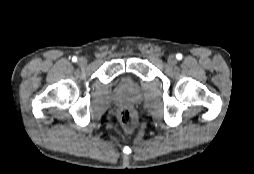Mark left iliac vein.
Segmentation results:
<instances>
[{"instance_id": "4c4485c4", "label": "left iliac vein", "mask_w": 254, "mask_h": 174, "mask_svg": "<svg viewBox=\"0 0 254 174\" xmlns=\"http://www.w3.org/2000/svg\"><path fill=\"white\" fill-rule=\"evenodd\" d=\"M168 63L170 65H175L177 63L176 57L174 55H169V57H168Z\"/></svg>"}]
</instances>
